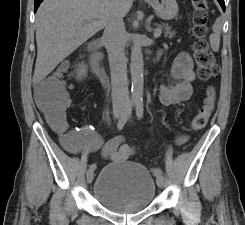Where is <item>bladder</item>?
Here are the masks:
<instances>
[{"mask_svg":"<svg viewBox=\"0 0 245 225\" xmlns=\"http://www.w3.org/2000/svg\"><path fill=\"white\" fill-rule=\"evenodd\" d=\"M94 199L116 214H133L147 209L157 194L152 171L129 160L102 167L94 182Z\"/></svg>","mask_w":245,"mask_h":225,"instance_id":"obj_1","label":"bladder"}]
</instances>
